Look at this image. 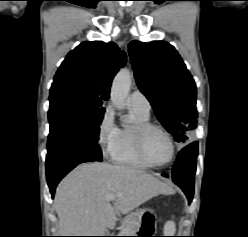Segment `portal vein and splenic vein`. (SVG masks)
<instances>
[{
	"mask_svg": "<svg viewBox=\"0 0 248 237\" xmlns=\"http://www.w3.org/2000/svg\"><path fill=\"white\" fill-rule=\"evenodd\" d=\"M116 197H117L116 195L110 194V195H108V196L106 197V200L110 202V201H112V200H115Z\"/></svg>",
	"mask_w": 248,
	"mask_h": 237,
	"instance_id": "obj_1",
	"label": "portal vein and splenic vein"
}]
</instances>
